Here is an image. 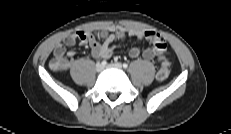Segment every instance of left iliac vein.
Instances as JSON below:
<instances>
[{"mask_svg": "<svg viewBox=\"0 0 231 134\" xmlns=\"http://www.w3.org/2000/svg\"><path fill=\"white\" fill-rule=\"evenodd\" d=\"M107 68L122 69L121 63H111L107 65Z\"/></svg>", "mask_w": 231, "mask_h": 134, "instance_id": "obj_1", "label": "left iliac vein"}]
</instances>
